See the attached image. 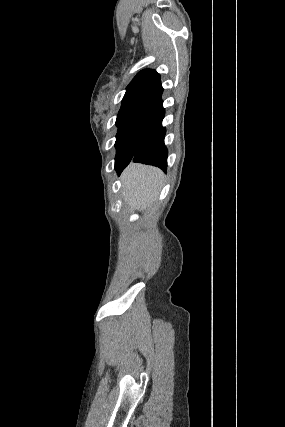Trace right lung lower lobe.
Returning a JSON list of instances; mask_svg holds the SVG:
<instances>
[{
    "mask_svg": "<svg viewBox=\"0 0 285 427\" xmlns=\"http://www.w3.org/2000/svg\"><path fill=\"white\" fill-rule=\"evenodd\" d=\"M164 115L165 109L162 104L147 114L142 129V143L132 158V162L157 166L166 171L168 150L164 144L166 133L165 127L162 126ZM129 163L116 168L118 174H120Z\"/></svg>",
    "mask_w": 285,
    "mask_h": 427,
    "instance_id": "98d812e1",
    "label": "right lung lower lobe"
}]
</instances>
